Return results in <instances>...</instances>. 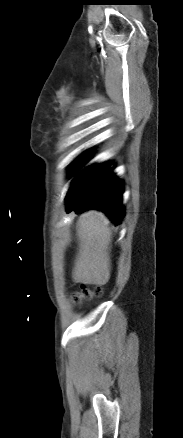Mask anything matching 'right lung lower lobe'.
<instances>
[{"instance_id": "right-lung-lower-lobe-1", "label": "right lung lower lobe", "mask_w": 183, "mask_h": 438, "mask_svg": "<svg viewBox=\"0 0 183 438\" xmlns=\"http://www.w3.org/2000/svg\"><path fill=\"white\" fill-rule=\"evenodd\" d=\"M111 164L89 166L75 177L67 193V212L96 208L104 211L115 224L121 222L123 185L112 173Z\"/></svg>"}]
</instances>
